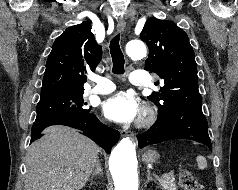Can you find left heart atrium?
Instances as JSON below:
<instances>
[{"instance_id": "left-heart-atrium-1", "label": "left heart atrium", "mask_w": 238, "mask_h": 190, "mask_svg": "<svg viewBox=\"0 0 238 190\" xmlns=\"http://www.w3.org/2000/svg\"><path fill=\"white\" fill-rule=\"evenodd\" d=\"M104 115L118 123L134 121L140 114L137 99L126 92H119L108 98L103 104Z\"/></svg>"}]
</instances>
